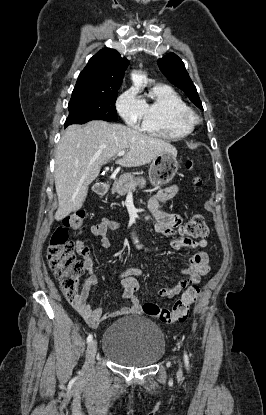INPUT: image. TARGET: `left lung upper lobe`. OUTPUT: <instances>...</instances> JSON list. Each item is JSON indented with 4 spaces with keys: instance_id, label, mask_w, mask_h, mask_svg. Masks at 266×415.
Masks as SVG:
<instances>
[{
    "instance_id": "5c2ea615",
    "label": "left lung upper lobe",
    "mask_w": 266,
    "mask_h": 415,
    "mask_svg": "<svg viewBox=\"0 0 266 415\" xmlns=\"http://www.w3.org/2000/svg\"><path fill=\"white\" fill-rule=\"evenodd\" d=\"M160 70L166 78L175 86L180 88L189 99L201 110L202 103L196 91V87L189 77L182 60L174 53H169L158 60Z\"/></svg>"
}]
</instances>
